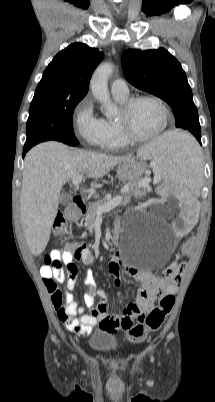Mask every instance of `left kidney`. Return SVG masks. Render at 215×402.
Instances as JSON below:
<instances>
[{"label":"left kidney","instance_id":"1","mask_svg":"<svg viewBox=\"0 0 215 402\" xmlns=\"http://www.w3.org/2000/svg\"><path fill=\"white\" fill-rule=\"evenodd\" d=\"M178 184H160L158 191L165 205H168L169 215L174 219L173 228L177 230V237L185 240L189 232L195 229V222H199L200 201L195 200L190 193L179 191Z\"/></svg>","mask_w":215,"mask_h":402}]
</instances>
